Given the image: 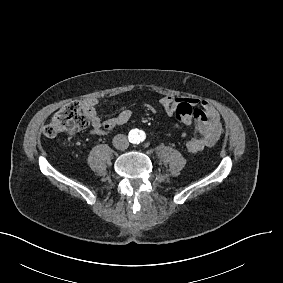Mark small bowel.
<instances>
[{
  "instance_id": "small-bowel-1",
  "label": "small bowel",
  "mask_w": 283,
  "mask_h": 283,
  "mask_svg": "<svg viewBox=\"0 0 283 283\" xmlns=\"http://www.w3.org/2000/svg\"><path fill=\"white\" fill-rule=\"evenodd\" d=\"M184 101L192 102L196 108L195 119L198 122V135L186 143L190 153H199L205 148L212 147L224 133L220 114L216 108L206 100L196 97H175L166 95L160 100L161 106L169 114L174 108ZM99 101L95 97H88L80 102L82 111L89 117L91 132L95 135H104L115 127L126 124L132 117L129 109H124L117 116L103 119L97 112ZM110 104H116L114 100Z\"/></svg>"
}]
</instances>
